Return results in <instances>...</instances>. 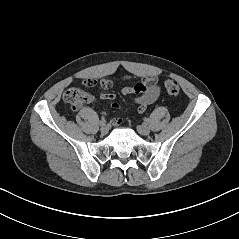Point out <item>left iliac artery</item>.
<instances>
[{
    "label": "left iliac artery",
    "instance_id": "1",
    "mask_svg": "<svg viewBox=\"0 0 239 239\" xmlns=\"http://www.w3.org/2000/svg\"><path fill=\"white\" fill-rule=\"evenodd\" d=\"M145 122H146V123H149V119H148V118H146V119H145Z\"/></svg>",
    "mask_w": 239,
    "mask_h": 239
}]
</instances>
